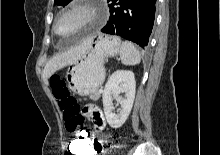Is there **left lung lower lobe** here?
Returning <instances> with one entry per match:
<instances>
[{
    "mask_svg": "<svg viewBox=\"0 0 220 155\" xmlns=\"http://www.w3.org/2000/svg\"><path fill=\"white\" fill-rule=\"evenodd\" d=\"M110 17L103 33L118 35L145 49L153 28L156 0H107Z\"/></svg>",
    "mask_w": 220,
    "mask_h": 155,
    "instance_id": "1",
    "label": "left lung lower lobe"
}]
</instances>
